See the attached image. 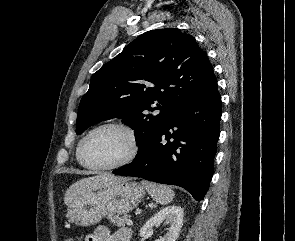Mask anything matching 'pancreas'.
<instances>
[{
	"mask_svg": "<svg viewBox=\"0 0 295 241\" xmlns=\"http://www.w3.org/2000/svg\"><path fill=\"white\" fill-rule=\"evenodd\" d=\"M108 218L118 227H124L127 220L126 216L120 217L119 215H109Z\"/></svg>",
	"mask_w": 295,
	"mask_h": 241,
	"instance_id": "obj_1",
	"label": "pancreas"
}]
</instances>
